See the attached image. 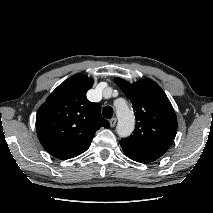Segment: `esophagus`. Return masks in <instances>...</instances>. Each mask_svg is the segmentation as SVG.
Returning a JSON list of instances; mask_svg holds the SVG:
<instances>
[{"label":"esophagus","instance_id":"obj_1","mask_svg":"<svg viewBox=\"0 0 213 213\" xmlns=\"http://www.w3.org/2000/svg\"><path fill=\"white\" fill-rule=\"evenodd\" d=\"M117 119L115 117H113L112 119H110V126L114 127L116 125Z\"/></svg>","mask_w":213,"mask_h":213}]
</instances>
